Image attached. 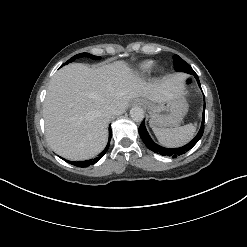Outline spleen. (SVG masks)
Instances as JSON below:
<instances>
[{
    "label": "spleen",
    "mask_w": 247,
    "mask_h": 247,
    "mask_svg": "<svg viewBox=\"0 0 247 247\" xmlns=\"http://www.w3.org/2000/svg\"><path fill=\"white\" fill-rule=\"evenodd\" d=\"M196 124H187L177 128H153L160 144L166 147H179L188 143L194 136Z\"/></svg>",
    "instance_id": "obj_1"
}]
</instances>
